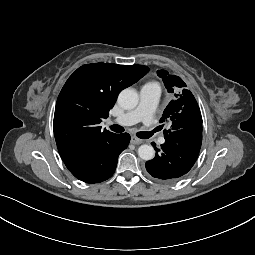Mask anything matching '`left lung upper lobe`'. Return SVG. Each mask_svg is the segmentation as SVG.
I'll list each match as a JSON object with an SVG mask.
<instances>
[{"mask_svg": "<svg viewBox=\"0 0 255 255\" xmlns=\"http://www.w3.org/2000/svg\"><path fill=\"white\" fill-rule=\"evenodd\" d=\"M158 76L162 78L169 93L175 98L165 108L160 122H169L170 129L164 130V137L173 131L185 127L202 124V116L198 103L191 91L186 89L183 80L175 75H169L165 70H159Z\"/></svg>", "mask_w": 255, "mask_h": 255, "instance_id": "obj_1", "label": "left lung upper lobe"}]
</instances>
